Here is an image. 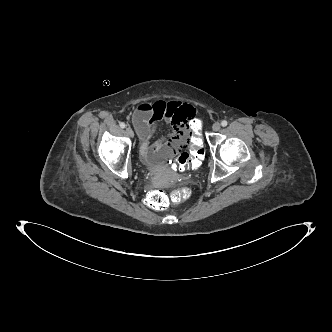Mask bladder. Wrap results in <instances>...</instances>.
<instances>
[{
  "label": "bladder",
  "mask_w": 332,
  "mask_h": 332,
  "mask_svg": "<svg viewBox=\"0 0 332 332\" xmlns=\"http://www.w3.org/2000/svg\"><path fill=\"white\" fill-rule=\"evenodd\" d=\"M143 161H144V163H145L146 165H148V166H150V167H154V166H157V165H158L157 162L148 161V160H145L144 158H143Z\"/></svg>",
  "instance_id": "31cf9c89"
}]
</instances>
